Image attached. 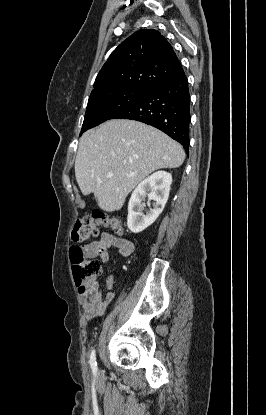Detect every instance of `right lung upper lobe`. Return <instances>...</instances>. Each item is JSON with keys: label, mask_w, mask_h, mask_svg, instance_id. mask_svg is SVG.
<instances>
[{"label": "right lung upper lobe", "mask_w": 266, "mask_h": 415, "mask_svg": "<svg viewBox=\"0 0 266 415\" xmlns=\"http://www.w3.org/2000/svg\"><path fill=\"white\" fill-rule=\"evenodd\" d=\"M182 72L176 53L160 32L139 30L111 53L96 77L91 95L115 88L150 90Z\"/></svg>", "instance_id": "cb5924a9"}]
</instances>
